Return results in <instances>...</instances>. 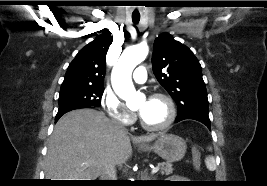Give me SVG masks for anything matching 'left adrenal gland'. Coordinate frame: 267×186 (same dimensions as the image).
Returning a JSON list of instances; mask_svg holds the SVG:
<instances>
[{
    "label": "left adrenal gland",
    "instance_id": "1",
    "mask_svg": "<svg viewBox=\"0 0 267 186\" xmlns=\"http://www.w3.org/2000/svg\"><path fill=\"white\" fill-rule=\"evenodd\" d=\"M143 178H144V180L145 181H151V180H155V179H151L150 177H148V174H147V172L145 171V174L143 175Z\"/></svg>",
    "mask_w": 267,
    "mask_h": 186
}]
</instances>
